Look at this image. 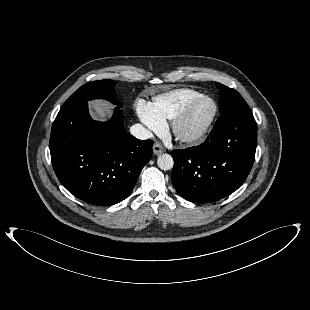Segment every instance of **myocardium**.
<instances>
[{
    "label": "myocardium",
    "mask_w": 310,
    "mask_h": 310,
    "mask_svg": "<svg viewBox=\"0 0 310 310\" xmlns=\"http://www.w3.org/2000/svg\"><path fill=\"white\" fill-rule=\"evenodd\" d=\"M202 101H209L212 104V111L203 125L195 132L187 134L183 132L182 126L186 121L191 110ZM218 114V105L216 101L207 95H200L188 102L183 109L173 118L171 130L174 137L181 143L187 145L199 144L209 133Z\"/></svg>",
    "instance_id": "obj_1"
}]
</instances>
